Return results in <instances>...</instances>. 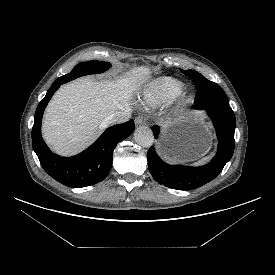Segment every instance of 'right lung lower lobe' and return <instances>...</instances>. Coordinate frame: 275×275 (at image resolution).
Returning <instances> with one entry per match:
<instances>
[{
  "instance_id": "right-lung-lower-lobe-1",
  "label": "right lung lower lobe",
  "mask_w": 275,
  "mask_h": 275,
  "mask_svg": "<svg viewBox=\"0 0 275 275\" xmlns=\"http://www.w3.org/2000/svg\"><path fill=\"white\" fill-rule=\"evenodd\" d=\"M63 80L57 79L39 103L32 128V144L44 170L58 182L69 187H86L104 180L112 166L113 150L135 129L134 121L109 127L89 148L73 157L53 154L41 136V121L45 107Z\"/></svg>"
}]
</instances>
